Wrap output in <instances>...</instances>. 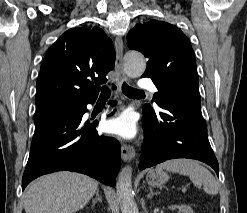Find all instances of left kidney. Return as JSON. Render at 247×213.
<instances>
[{
  "mask_svg": "<svg viewBox=\"0 0 247 213\" xmlns=\"http://www.w3.org/2000/svg\"><path fill=\"white\" fill-rule=\"evenodd\" d=\"M170 209L177 208L179 210V213H194L192 208L188 205H178V206H171Z\"/></svg>",
  "mask_w": 247,
  "mask_h": 213,
  "instance_id": "1",
  "label": "left kidney"
}]
</instances>
